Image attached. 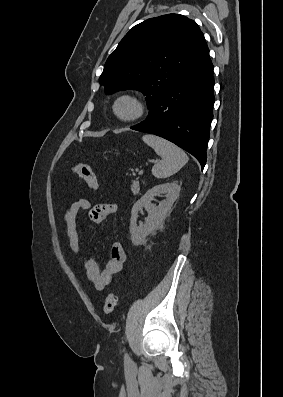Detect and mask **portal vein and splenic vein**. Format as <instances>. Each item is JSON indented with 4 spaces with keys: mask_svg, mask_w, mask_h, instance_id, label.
Masks as SVG:
<instances>
[{
    "mask_svg": "<svg viewBox=\"0 0 283 397\" xmlns=\"http://www.w3.org/2000/svg\"><path fill=\"white\" fill-rule=\"evenodd\" d=\"M143 173H144L143 170H140V171L138 172L139 175H143Z\"/></svg>",
    "mask_w": 283,
    "mask_h": 397,
    "instance_id": "portal-vein-and-splenic-vein-1",
    "label": "portal vein and splenic vein"
}]
</instances>
